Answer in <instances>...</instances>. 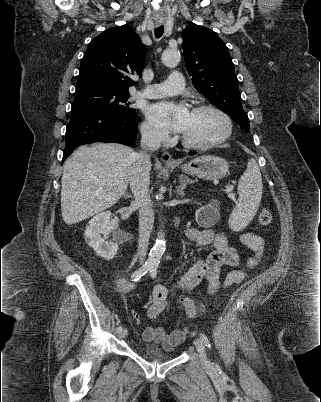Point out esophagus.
<instances>
[{"instance_id":"esophagus-1","label":"esophagus","mask_w":321,"mask_h":402,"mask_svg":"<svg viewBox=\"0 0 321 402\" xmlns=\"http://www.w3.org/2000/svg\"><path fill=\"white\" fill-rule=\"evenodd\" d=\"M161 159L162 161L166 164V165H173V164H177L178 161H176L175 159L172 158L171 154L167 151H164L161 155Z\"/></svg>"}]
</instances>
